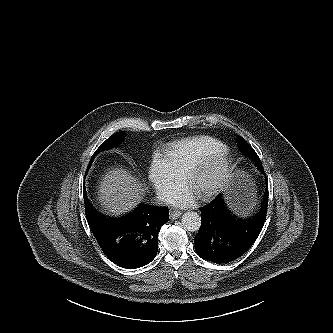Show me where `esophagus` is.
I'll return each mask as SVG.
<instances>
[{
  "instance_id": "esophagus-1",
  "label": "esophagus",
  "mask_w": 333,
  "mask_h": 333,
  "mask_svg": "<svg viewBox=\"0 0 333 333\" xmlns=\"http://www.w3.org/2000/svg\"><path fill=\"white\" fill-rule=\"evenodd\" d=\"M182 212L180 211H171L170 212V218L171 219H177L181 216Z\"/></svg>"
}]
</instances>
